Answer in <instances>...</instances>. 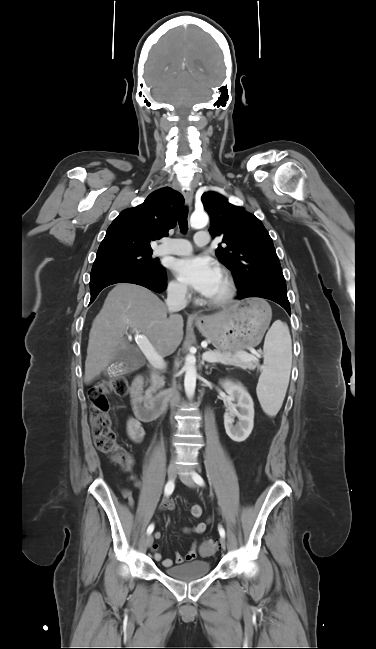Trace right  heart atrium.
<instances>
[{
    "label": "right heart atrium",
    "instance_id": "d8ad5b80",
    "mask_svg": "<svg viewBox=\"0 0 376 649\" xmlns=\"http://www.w3.org/2000/svg\"><path fill=\"white\" fill-rule=\"evenodd\" d=\"M167 291L169 296L177 301H186L189 297V292L186 286L176 280H172L168 283Z\"/></svg>",
    "mask_w": 376,
    "mask_h": 649
}]
</instances>
